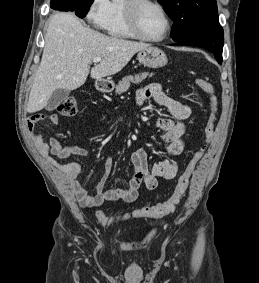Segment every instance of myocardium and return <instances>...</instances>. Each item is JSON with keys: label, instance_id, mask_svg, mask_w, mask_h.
I'll use <instances>...</instances> for the list:
<instances>
[{"label": "myocardium", "instance_id": "obj_1", "mask_svg": "<svg viewBox=\"0 0 259 283\" xmlns=\"http://www.w3.org/2000/svg\"><path fill=\"white\" fill-rule=\"evenodd\" d=\"M146 5H151V6H155L156 8H158L166 19V23H167L166 31L163 34V36L159 38L148 37L141 30L140 22H139V15H140L141 9ZM124 8H125L128 26L136 37L144 41H147V42L155 43V42L164 41L169 36L171 29H172V19L167 9L159 1L157 0H125Z\"/></svg>", "mask_w": 259, "mask_h": 283}]
</instances>
